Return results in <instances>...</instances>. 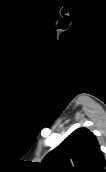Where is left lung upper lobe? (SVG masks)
<instances>
[{"instance_id":"left-lung-upper-lobe-1","label":"left lung upper lobe","mask_w":106,"mask_h":172,"mask_svg":"<svg viewBox=\"0 0 106 172\" xmlns=\"http://www.w3.org/2000/svg\"><path fill=\"white\" fill-rule=\"evenodd\" d=\"M45 172H105V160L96 137L87 128L71 133L41 163Z\"/></svg>"}]
</instances>
